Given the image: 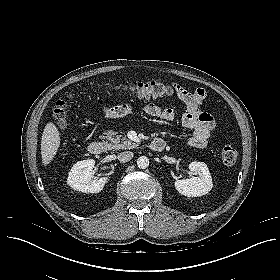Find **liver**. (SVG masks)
Instances as JSON below:
<instances>
[{
  "label": "liver",
  "instance_id": "liver-1",
  "mask_svg": "<svg viewBox=\"0 0 280 280\" xmlns=\"http://www.w3.org/2000/svg\"><path fill=\"white\" fill-rule=\"evenodd\" d=\"M60 133L53 122L46 124L41 139V157L44 166L48 165L57 154L60 146Z\"/></svg>",
  "mask_w": 280,
  "mask_h": 280
}]
</instances>
